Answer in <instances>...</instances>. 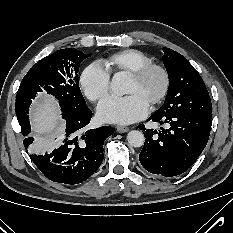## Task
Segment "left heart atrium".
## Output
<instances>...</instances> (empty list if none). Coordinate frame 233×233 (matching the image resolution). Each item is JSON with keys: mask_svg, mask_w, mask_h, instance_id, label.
<instances>
[{"mask_svg": "<svg viewBox=\"0 0 233 233\" xmlns=\"http://www.w3.org/2000/svg\"><path fill=\"white\" fill-rule=\"evenodd\" d=\"M148 104L136 94L105 97L97 107L98 118L107 123L129 124L142 119Z\"/></svg>", "mask_w": 233, "mask_h": 233, "instance_id": "left-heart-atrium-1", "label": "left heart atrium"}]
</instances>
